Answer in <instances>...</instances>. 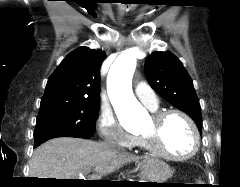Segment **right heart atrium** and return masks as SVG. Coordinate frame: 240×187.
I'll return each instance as SVG.
<instances>
[{
  "mask_svg": "<svg viewBox=\"0 0 240 187\" xmlns=\"http://www.w3.org/2000/svg\"><path fill=\"white\" fill-rule=\"evenodd\" d=\"M97 129L99 136L107 144L125 148L138 144V139L126 133L109 110H104L99 115Z\"/></svg>",
  "mask_w": 240,
  "mask_h": 187,
  "instance_id": "obj_1",
  "label": "right heart atrium"
}]
</instances>
